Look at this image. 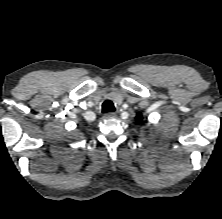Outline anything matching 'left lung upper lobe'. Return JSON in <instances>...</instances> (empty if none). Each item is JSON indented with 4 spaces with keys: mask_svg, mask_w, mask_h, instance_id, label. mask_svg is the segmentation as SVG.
Returning <instances> with one entry per match:
<instances>
[{
    "mask_svg": "<svg viewBox=\"0 0 222 219\" xmlns=\"http://www.w3.org/2000/svg\"><path fill=\"white\" fill-rule=\"evenodd\" d=\"M136 119H137V121H138V123H139V124H141V123H143V122H144V121H143V117H142L141 113H138V114H137Z\"/></svg>",
    "mask_w": 222,
    "mask_h": 219,
    "instance_id": "5c2ea615",
    "label": "left lung upper lobe"
}]
</instances>
